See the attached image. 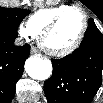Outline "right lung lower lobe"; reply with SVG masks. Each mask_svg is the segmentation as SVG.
I'll return each instance as SVG.
<instances>
[{
    "instance_id": "98d812e1",
    "label": "right lung lower lobe",
    "mask_w": 103,
    "mask_h": 103,
    "mask_svg": "<svg viewBox=\"0 0 103 103\" xmlns=\"http://www.w3.org/2000/svg\"><path fill=\"white\" fill-rule=\"evenodd\" d=\"M16 37L0 33V103L10 102L24 70L30 46H16Z\"/></svg>"
}]
</instances>
